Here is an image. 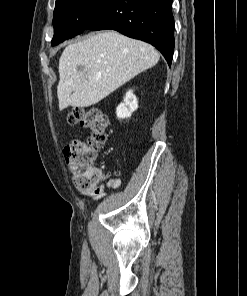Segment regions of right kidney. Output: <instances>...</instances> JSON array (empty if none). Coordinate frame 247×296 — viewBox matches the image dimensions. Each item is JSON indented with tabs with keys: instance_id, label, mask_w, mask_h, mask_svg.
I'll list each match as a JSON object with an SVG mask.
<instances>
[{
	"instance_id": "ca27d5eb",
	"label": "right kidney",
	"mask_w": 247,
	"mask_h": 296,
	"mask_svg": "<svg viewBox=\"0 0 247 296\" xmlns=\"http://www.w3.org/2000/svg\"><path fill=\"white\" fill-rule=\"evenodd\" d=\"M138 101L132 90L126 92L124 101L120 103L116 109V115L119 119L129 118L131 114L137 110Z\"/></svg>"
}]
</instances>
